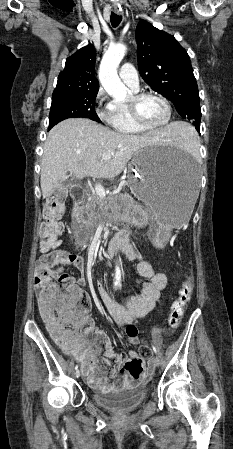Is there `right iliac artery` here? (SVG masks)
Here are the masks:
<instances>
[{"instance_id": "right-iliac-artery-1", "label": "right iliac artery", "mask_w": 233, "mask_h": 449, "mask_svg": "<svg viewBox=\"0 0 233 449\" xmlns=\"http://www.w3.org/2000/svg\"><path fill=\"white\" fill-rule=\"evenodd\" d=\"M75 370H78V365H76Z\"/></svg>"}]
</instances>
